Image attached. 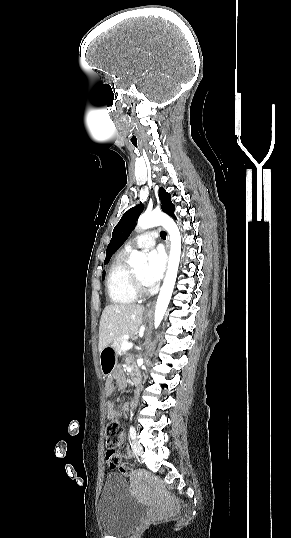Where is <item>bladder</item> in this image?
<instances>
[{
  "label": "bladder",
  "instance_id": "1",
  "mask_svg": "<svg viewBox=\"0 0 291 538\" xmlns=\"http://www.w3.org/2000/svg\"><path fill=\"white\" fill-rule=\"evenodd\" d=\"M146 507L137 502L122 477L113 474L105 481L97 508L102 531L113 538L130 533L146 514Z\"/></svg>",
  "mask_w": 291,
  "mask_h": 538
}]
</instances>
